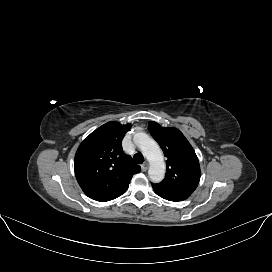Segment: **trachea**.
<instances>
[{
  "mask_svg": "<svg viewBox=\"0 0 272 272\" xmlns=\"http://www.w3.org/2000/svg\"><path fill=\"white\" fill-rule=\"evenodd\" d=\"M134 161H135V163H137V164H142V163L144 162V157H143V155L140 154V153H136V154L134 155Z\"/></svg>",
  "mask_w": 272,
  "mask_h": 272,
  "instance_id": "3493384b",
  "label": "trachea"
}]
</instances>
